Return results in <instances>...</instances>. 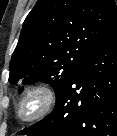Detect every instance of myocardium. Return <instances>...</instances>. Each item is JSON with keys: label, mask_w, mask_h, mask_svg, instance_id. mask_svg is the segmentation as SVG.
I'll list each match as a JSON object with an SVG mask.
<instances>
[{"label": "myocardium", "mask_w": 117, "mask_h": 136, "mask_svg": "<svg viewBox=\"0 0 117 136\" xmlns=\"http://www.w3.org/2000/svg\"><path fill=\"white\" fill-rule=\"evenodd\" d=\"M33 98L39 101L38 108L34 113L25 116L23 114V109L25 105ZM56 101L57 94L53 87L47 84L35 85L27 89L20 98L17 108V116L21 121L26 123L40 120L53 111Z\"/></svg>", "instance_id": "f54148a6"}]
</instances>
